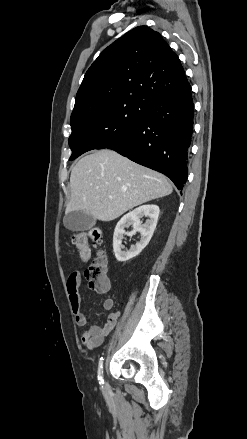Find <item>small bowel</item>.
Here are the masks:
<instances>
[{"label":"small bowel","instance_id":"small-bowel-1","mask_svg":"<svg viewBox=\"0 0 247 439\" xmlns=\"http://www.w3.org/2000/svg\"><path fill=\"white\" fill-rule=\"evenodd\" d=\"M82 281V272L73 271L67 280V290L71 308L75 317V322L78 327H85L88 323L87 316L81 308V298L79 294V288ZM114 307V301L112 298H107L103 302V308L106 311L112 310ZM120 312L114 311L110 313L103 326H99L97 323L90 324L82 333L81 341L89 349L99 347L104 338L114 329L117 324Z\"/></svg>","mask_w":247,"mask_h":439}]
</instances>
